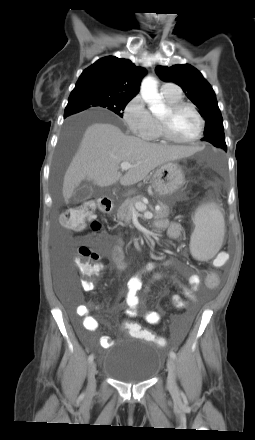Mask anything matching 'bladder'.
Returning <instances> with one entry per match:
<instances>
[{"instance_id": "obj_1", "label": "bladder", "mask_w": 255, "mask_h": 440, "mask_svg": "<svg viewBox=\"0 0 255 440\" xmlns=\"http://www.w3.org/2000/svg\"><path fill=\"white\" fill-rule=\"evenodd\" d=\"M127 343L126 340L114 346L116 352L110 354L103 367L105 375L128 384L153 379L162 363L160 347L143 339L134 346H127Z\"/></svg>"}]
</instances>
